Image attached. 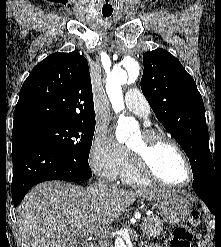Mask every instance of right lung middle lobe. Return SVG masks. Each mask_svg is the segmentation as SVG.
I'll use <instances>...</instances> for the list:
<instances>
[{"label":"right lung middle lobe","instance_id":"1","mask_svg":"<svg viewBox=\"0 0 221 247\" xmlns=\"http://www.w3.org/2000/svg\"><path fill=\"white\" fill-rule=\"evenodd\" d=\"M94 130L95 122H48L15 129L12 136L39 140L71 160L89 166L88 158Z\"/></svg>","mask_w":221,"mask_h":247}]
</instances>
